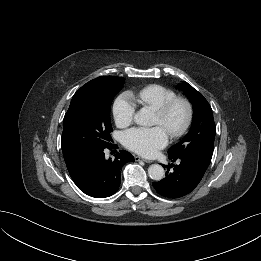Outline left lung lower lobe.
<instances>
[{
	"label": "left lung lower lobe",
	"mask_w": 261,
	"mask_h": 261,
	"mask_svg": "<svg viewBox=\"0 0 261 261\" xmlns=\"http://www.w3.org/2000/svg\"><path fill=\"white\" fill-rule=\"evenodd\" d=\"M169 159L172 162L177 161L178 164L164 165V168H167L166 177L158 182H153V187L161 196L180 198L191 193L197 187L206 170L183 157H169Z\"/></svg>",
	"instance_id": "left-lung-lower-lobe-1"
}]
</instances>
